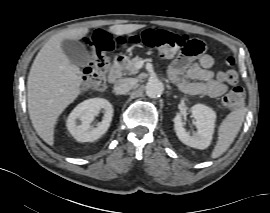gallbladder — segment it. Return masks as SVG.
<instances>
[{
  "label": "gallbladder",
  "mask_w": 270,
  "mask_h": 213,
  "mask_svg": "<svg viewBox=\"0 0 270 213\" xmlns=\"http://www.w3.org/2000/svg\"><path fill=\"white\" fill-rule=\"evenodd\" d=\"M61 48L69 61L77 66L85 67L91 61V56L85 46L78 40L64 39Z\"/></svg>",
  "instance_id": "1"
}]
</instances>
